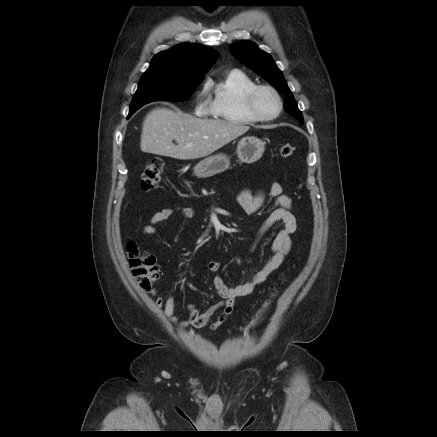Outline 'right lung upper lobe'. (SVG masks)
I'll return each instance as SVG.
<instances>
[{
  "label": "right lung upper lobe",
  "instance_id": "obj_1",
  "mask_svg": "<svg viewBox=\"0 0 437 437\" xmlns=\"http://www.w3.org/2000/svg\"><path fill=\"white\" fill-rule=\"evenodd\" d=\"M218 53L198 44H180L155 55L146 72H166L188 80L204 79Z\"/></svg>",
  "mask_w": 437,
  "mask_h": 437
}]
</instances>
